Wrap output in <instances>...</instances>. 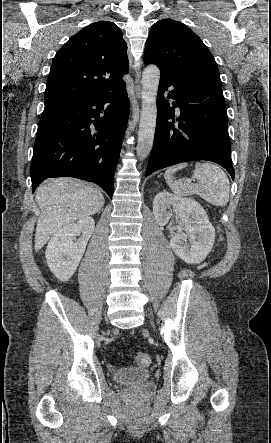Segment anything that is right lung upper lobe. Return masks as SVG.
I'll return each instance as SVG.
<instances>
[{
	"label": "right lung upper lobe",
	"mask_w": 271,
	"mask_h": 443,
	"mask_svg": "<svg viewBox=\"0 0 271 443\" xmlns=\"http://www.w3.org/2000/svg\"><path fill=\"white\" fill-rule=\"evenodd\" d=\"M127 44L109 21L92 23L56 53L46 84L45 105L87 95L115 92L125 86Z\"/></svg>",
	"instance_id": "1"
}]
</instances>
